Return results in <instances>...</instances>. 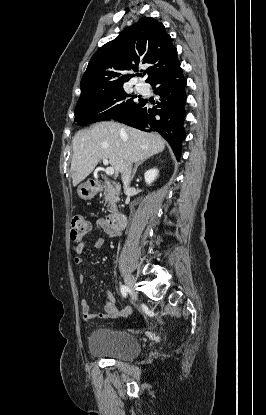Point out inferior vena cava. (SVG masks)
<instances>
[{
  "label": "inferior vena cava",
  "mask_w": 266,
  "mask_h": 415,
  "mask_svg": "<svg viewBox=\"0 0 266 415\" xmlns=\"http://www.w3.org/2000/svg\"><path fill=\"white\" fill-rule=\"evenodd\" d=\"M131 169H132V163L130 161H127L122 168L121 171V179L124 185V190H129L130 181H131Z\"/></svg>",
  "instance_id": "602c4592"
}]
</instances>
